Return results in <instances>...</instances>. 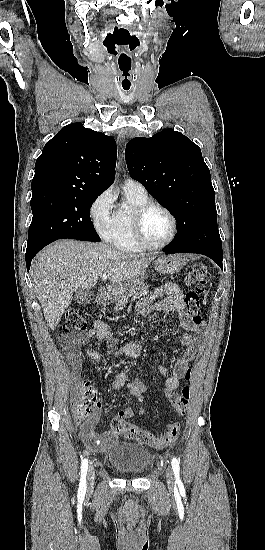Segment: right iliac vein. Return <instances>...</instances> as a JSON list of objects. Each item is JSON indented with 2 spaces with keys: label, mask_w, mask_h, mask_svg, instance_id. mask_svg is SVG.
Instances as JSON below:
<instances>
[{
  "label": "right iliac vein",
  "mask_w": 265,
  "mask_h": 550,
  "mask_svg": "<svg viewBox=\"0 0 265 550\" xmlns=\"http://www.w3.org/2000/svg\"><path fill=\"white\" fill-rule=\"evenodd\" d=\"M94 479H95L94 468H93V467H90V468L88 469V472H87V483H88V486H89L90 488L93 487Z\"/></svg>",
  "instance_id": "obj_1"
}]
</instances>
